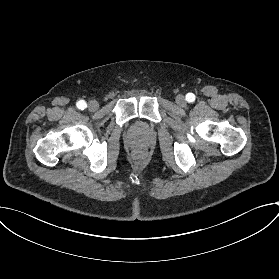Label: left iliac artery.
<instances>
[{"instance_id":"left-iliac-artery-1","label":"left iliac artery","mask_w":279,"mask_h":279,"mask_svg":"<svg viewBox=\"0 0 279 279\" xmlns=\"http://www.w3.org/2000/svg\"><path fill=\"white\" fill-rule=\"evenodd\" d=\"M186 100H187L188 102H194V101H195V95H194L193 93H188V94L186 95Z\"/></svg>"}]
</instances>
